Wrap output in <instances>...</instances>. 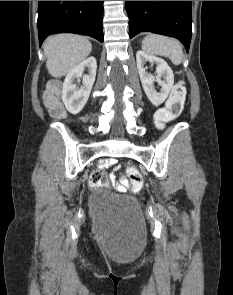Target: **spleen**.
<instances>
[{
    "instance_id": "spleen-1",
    "label": "spleen",
    "mask_w": 233,
    "mask_h": 295,
    "mask_svg": "<svg viewBox=\"0 0 233 295\" xmlns=\"http://www.w3.org/2000/svg\"><path fill=\"white\" fill-rule=\"evenodd\" d=\"M142 49L153 55L169 57L174 64H180L183 57L178 40L158 34H148L142 41Z\"/></svg>"
}]
</instances>
